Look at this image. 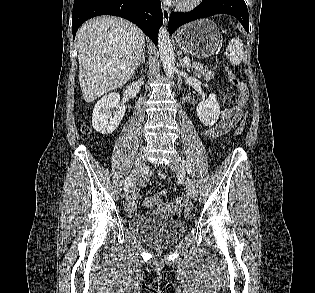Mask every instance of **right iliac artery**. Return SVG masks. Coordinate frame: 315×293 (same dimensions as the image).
I'll return each mask as SVG.
<instances>
[{
	"instance_id": "right-iliac-artery-1",
	"label": "right iliac artery",
	"mask_w": 315,
	"mask_h": 293,
	"mask_svg": "<svg viewBox=\"0 0 315 293\" xmlns=\"http://www.w3.org/2000/svg\"><path fill=\"white\" fill-rule=\"evenodd\" d=\"M133 174L129 175L125 181V185H124V190L127 192L129 190V187L131 185L132 179H133Z\"/></svg>"
}]
</instances>
